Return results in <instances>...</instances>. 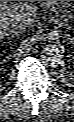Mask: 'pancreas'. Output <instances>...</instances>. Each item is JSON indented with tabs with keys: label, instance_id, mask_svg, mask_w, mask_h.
Listing matches in <instances>:
<instances>
[{
	"label": "pancreas",
	"instance_id": "1",
	"mask_svg": "<svg viewBox=\"0 0 74 122\" xmlns=\"http://www.w3.org/2000/svg\"><path fill=\"white\" fill-rule=\"evenodd\" d=\"M41 6L44 8V9H50L52 11H55L56 12V15L61 17V19H63L64 22H67L68 19H71V16L68 15L66 12L64 11H59L57 10L54 5H55V1H43L40 3Z\"/></svg>",
	"mask_w": 74,
	"mask_h": 122
}]
</instances>
